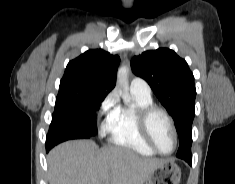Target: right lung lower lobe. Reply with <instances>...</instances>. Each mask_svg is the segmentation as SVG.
Returning a JSON list of instances; mask_svg holds the SVG:
<instances>
[{
	"label": "right lung lower lobe",
	"mask_w": 235,
	"mask_h": 184,
	"mask_svg": "<svg viewBox=\"0 0 235 184\" xmlns=\"http://www.w3.org/2000/svg\"><path fill=\"white\" fill-rule=\"evenodd\" d=\"M80 129L67 120L57 118L53 115L50 129L46 138V151L48 152L55 145L58 134L62 132H78Z\"/></svg>",
	"instance_id": "obj_1"
}]
</instances>
